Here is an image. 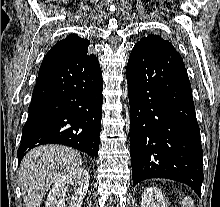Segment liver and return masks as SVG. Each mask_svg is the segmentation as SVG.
I'll return each mask as SVG.
<instances>
[{"mask_svg": "<svg viewBox=\"0 0 220 207\" xmlns=\"http://www.w3.org/2000/svg\"><path fill=\"white\" fill-rule=\"evenodd\" d=\"M81 165V155L65 146L43 145L30 150L18 171L25 207H40L49 188Z\"/></svg>", "mask_w": 220, "mask_h": 207, "instance_id": "liver-1", "label": "liver"}]
</instances>
